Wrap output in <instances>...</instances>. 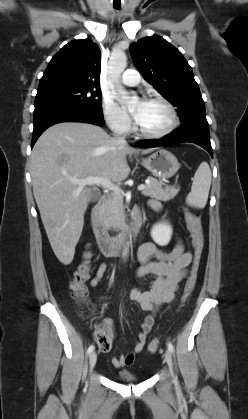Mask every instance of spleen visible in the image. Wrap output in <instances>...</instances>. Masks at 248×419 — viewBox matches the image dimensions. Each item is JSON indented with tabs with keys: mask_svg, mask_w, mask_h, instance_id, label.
Returning <instances> with one entry per match:
<instances>
[{
	"mask_svg": "<svg viewBox=\"0 0 248 419\" xmlns=\"http://www.w3.org/2000/svg\"><path fill=\"white\" fill-rule=\"evenodd\" d=\"M210 186L211 170L207 162H202L195 172L186 203L191 207L204 208L208 200Z\"/></svg>",
	"mask_w": 248,
	"mask_h": 419,
	"instance_id": "spleen-1",
	"label": "spleen"
}]
</instances>
